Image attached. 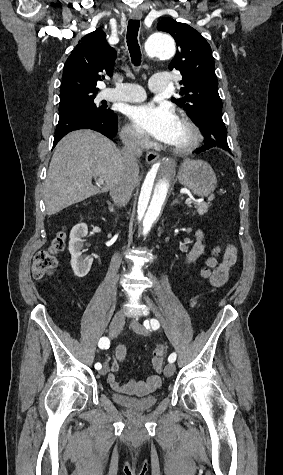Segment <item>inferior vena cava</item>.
Instances as JSON below:
<instances>
[{
    "mask_svg": "<svg viewBox=\"0 0 283 475\" xmlns=\"http://www.w3.org/2000/svg\"><path fill=\"white\" fill-rule=\"evenodd\" d=\"M148 142L146 132H129L124 140L122 166L110 190V196L117 206H126L134 190V180L138 176V160Z\"/></svg>",
    "mask_w": 283,
    "mask_h": 475,
    "instance_id": "602c4592",
    "label": "inferior vena cava"
}]
</instances>
